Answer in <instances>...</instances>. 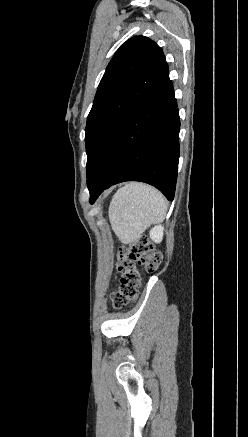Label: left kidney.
<instances>
[{
  "label": "left kidney",
  "mask_w": 248,
  "mask_h": 437,
  "mask_svg": "<svg viewBox=\"0 0 248 437\" xmlns=\"http://www.w3.org/2000/svg\"><path fill=\"white\" fill-rule=\"evenodd\" d=\"M164 227L157 225L150 230V238L156 243H160L163 239Z\"/></svg>",
  "instance_id": "obj_1"
}]
</instances>
